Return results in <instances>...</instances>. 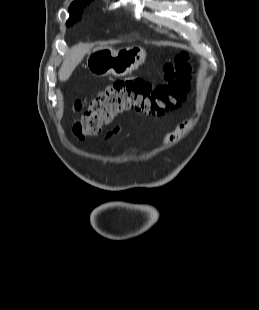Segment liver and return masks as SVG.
Instances as JSON below:
<instances>
[{
    "label": "liver",
    "mask_w": 259,
    "mask_h": 310,
    "mask_svg": "<svg viewBox=\"0 0 259 310\" xmlns=\"http://www.w3.org/2000/svg\"><path fill=\"white\" fill-rule=\"evenodd\" d=\"M90 52V46L87 44L80 43L74 46L69 56L66 57L59 70V80L66 81L69 79L74 69L81 63L84 56Z\"/></svg>",
    "instance_id": "6515ba94"
}]
</instances>
